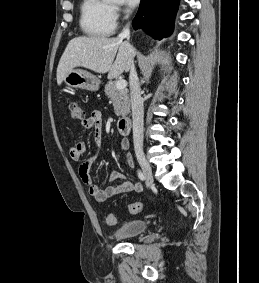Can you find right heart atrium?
I'll return each instance as SVG.
<instances>
[{
	"instance_id": "right-heart-atrium-1",
	"label": "right heart atrium",
	"mask_w": 259,
	"mask_h": 283,
	"mask_svg": "<svg viewBox=\"0 0 259 283\" xmlns=\"http://www.w3.org/2000/svg\"><path fill=\"white\" fill-rule=\"evenodd\" d=\"M113 12H114L115 17H118L121 14V9L117 6H115V7H113Z\"/></svg>"
}]
</instances>
